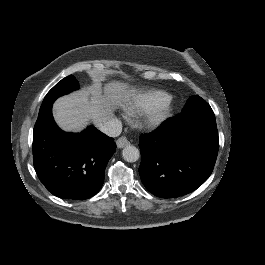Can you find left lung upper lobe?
<instances>
[{
	"instance_id": "obj_1",
	"label": "left lung upper lobe",
	"mask_w": 265,
	"mask_h": 265,
	"mask_svg": "<svg viewBox=\"0 0 265 265\" xmlns=\"http://www.w3.org/2000/svg\"><path fill=\"white\" fill-rule=\"evenodd\" d=\"M206 101L202 99L201 97L197 96H192L188 99L187 103L185 104L184 108L182 109V112H186L188 110L194 109L196 107H199L203 104H205Z\"/></svg>"
}]
</instances>
